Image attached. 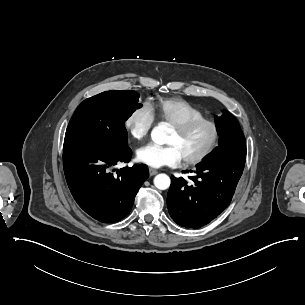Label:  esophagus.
Wrapping results in <instances>:
<instances>
[{
	"mask_svg": "<svg viewBox=\"0 0 305 305\" xmlns=\"http://www.w3.org/2000/svg\"><path fill=\"white\" fill-rule=\"evenodd\" d=\"M158 172L155 170V169H153V168H149V175L150 176H154V175H156Z\"/></svg>",
	"mask_w": 305,
	"mask_h": 305,
	"instance_id": "obj_1",
	"label": "esophagus"
}]
</instances>
